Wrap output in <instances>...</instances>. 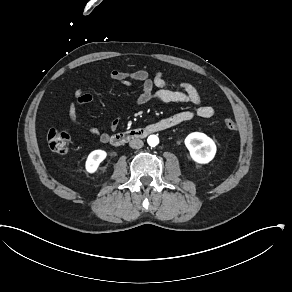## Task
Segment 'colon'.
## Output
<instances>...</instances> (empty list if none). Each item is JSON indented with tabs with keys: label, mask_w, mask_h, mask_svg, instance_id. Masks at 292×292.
<instances>
[{
	"label": "colon",
	"mask_w": 292,
	"mask_h": 292,
	"mask_svg": "<svg viewBox=\"0 0 292 292\" xmlns=\"http://www.w3.org/2000/svg\"><path fill=\"white\" fill-rule=\"evenodd\" d=\"M223 123L229 130H235L236 124L227 116L223 117ZM71 136L69 132L62 129H51L47 133V142L50 151L56 154H64L69 150Z\"/></svg>",
	"instance_id": "1"
}]
</instances>
